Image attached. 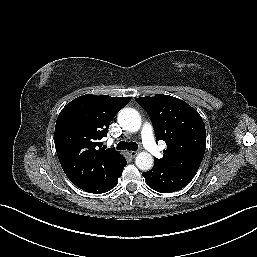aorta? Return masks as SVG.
Here are the masks:
<instances>
[{
  "label": "aorta",
  "instance_id": "762f6f07",
  "mask_svg": "<svg viewBox=\"0 0 257 257\" xmlns=\"http://www.w3.org/2000/svg\"><path fill=\"white\" fill-rule=\"evenodd\" d=\"M118 123L128 132H136L141 127V116L133 108H123L118 113ZM153 157L148 152H140L135 159L136 166L143 171H148L153 166Z\"/></svg>",
  "mask_w": 257,
  "mask_h": 257
}]
</instances>
